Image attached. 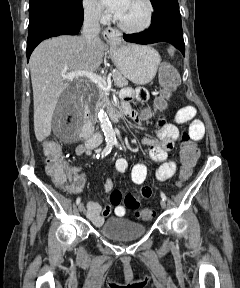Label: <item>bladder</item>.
<instances>
[{
    "mask_svg": "<svg viewBox=\"0 0 240 288\" xmlns=\"http://www.w3.org/2000/svg\"><path fill=\"white\" fill-rule=\"evenodd\" d=\"M147 231L145 225L128 219H112L99 229L106 238L118 241L133 240L142 237Z\"/></svg>",
    "mask_w": 240,
    "mask_h": 288,
    "instance_id": "1",
    "label": "bladder"
}]
</instances>
